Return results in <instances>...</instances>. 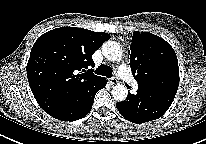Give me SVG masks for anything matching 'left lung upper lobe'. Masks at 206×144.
I'll list each match as a JSON object with an SVG mask.
<instances>
[{
	"label": "left lung upper lobe",
	"instance_id": "left-lung-upper-lobe-1",
	"mask_svg": "<svg viewBox=\"0 0 206 144\" xmlns=\"http://www.w3.org/2000/svg\"><path fill=\"white\" fill-rule=\"evenodd\" d=\"M130 67L149 96L174 99L179 85L178 60L172 46L149 32L135 31L130 45Z\"/></svg>",
	"mask_w": 206,
	"mask_h": 144
}]
</instances>
